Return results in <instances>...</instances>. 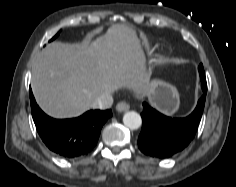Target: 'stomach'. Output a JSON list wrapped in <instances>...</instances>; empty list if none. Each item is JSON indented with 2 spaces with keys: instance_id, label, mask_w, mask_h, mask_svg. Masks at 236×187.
<instances>
[{
  "instance_id": "stomach-1",
  "label": "stomach",
  "mask_w": 236,
  "mask_h": 187,
  "mask_svg": "<svg viewBox=\"0 0 236 187\" xmlns=\"http://www.w3.org/2000/svg\"><path fill=\"white\" fill-rule=\"evenodd\" d=\"M147 96L150 103L165 114H173L179 108L180 97L177 88L164 81L153 80Z\"/></svg>"
}]
</instances>
